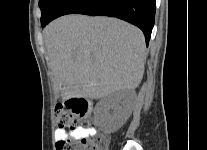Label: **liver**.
<instances>
[{
	"label": "liver",
	"instance_id": "6515ba94",
	"mask_svg": "<svg viewBox=\"0 0 207 150\" xmlns=\"http://www.w3.org/2000/svg\"><path fill=\"white\" fill-rule=\"evenodd\" d=\"M54 77L63 99H100L139 86L144 74V35L108 17L66 15L44 30Z\"/></svg>",
	"mask_w": 207,
	"mask_h": 150
}]
</instances>
